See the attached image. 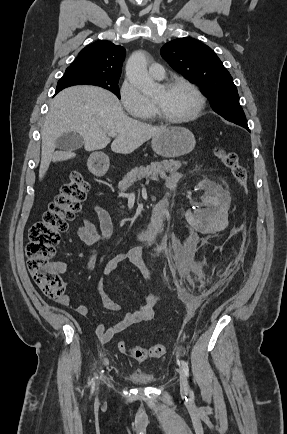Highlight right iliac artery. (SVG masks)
I'll return each instance as SVG.
<instances>
[{
  "instance_id": "1",
  "label": "right iliac artery",
  "mask_w": 287,
  "mask_h": 434,
  "mask_svg": "<svg viewBox=\"0 0 287 434\" xmlns=\"http://www.w3.org/2000/svg\"><path fill=\"white\" fill-rule=\"evenodd\" d=\"M89 385L92 386V392H93V390H94V385H95V383H94V378H92V380L90 381Z\"/></svg>"
}]
</instances>
